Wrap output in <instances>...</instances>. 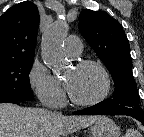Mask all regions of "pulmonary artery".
I'll return each mask as SVG.
<instances>
[{"label": "pulmonary artery", "instance_id": "1", "mask_svg": "<svg viewBox=\"0 0 144 137\" xmlns=\"http://www.w3.org/2000/svg\"><path fill=\"white\" fill-rule=\"evenodd\" d=\"M82 41L74 35L67 37L65 41V51L69 56H78L82 51Z\"/></svg>", "mask_w": 144, "mask_h": 137}]
</instances>
